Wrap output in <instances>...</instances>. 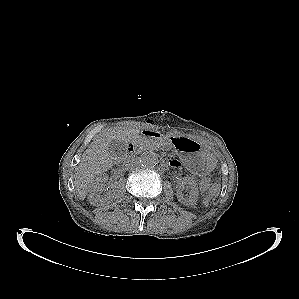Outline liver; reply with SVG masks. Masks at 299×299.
Returning a JSON list of instances; mask_svg holds the SVG:
<instances>
[{
  "mask_svg": "<svg viewBox=\"0 0 299 299\" xmlns=\"http://www.w3.org/2000/svg\"><path fill=\"white\" fill-rule=\"evenodd\" d=\"M139 134L135 128H111L99 134L82 155L75 168L74 185L78 198L84 200L90 183L116 162L117 155L109 152L112 141L129 142Z\"/></svg>",
  "mask_w": 299,
  "mask_h": 299,
  "instance_id": "liver-1",
  "label": "liver"
}]
</instances>
